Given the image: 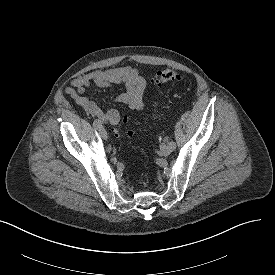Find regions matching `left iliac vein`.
I'll return each mask as SVG.
<instances>
[{"instance_id":"1","label":"left iliac vein","mask_w":275,"mask_h":275,"mask_svg":"<svg viewBox=\"0 0 275 275\" xmlns=\"http://www.w3.org/2000/svg\"><path fill=\"white\" fill-rule=\"evenodd\" d=\"M172 147L169 144L163 143L160 146V152L164 156H168L172 152Z\"/></svg>"}]
</instances>
